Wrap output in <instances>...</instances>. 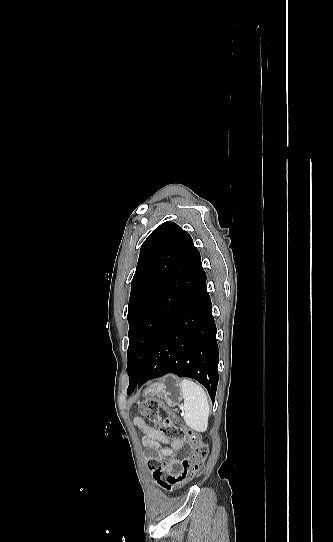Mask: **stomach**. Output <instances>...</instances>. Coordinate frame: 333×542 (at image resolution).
<instances>
[{
    "label": "stomach",
    "mask_w": 333,
    "mask_h": 542,
    "mask_svg": "<svg viewBox=\"0 0 333 542\" xmlns=\"http://www.w3.org/2000/svg\"><path fill=\"white\" fill-rule=\"evenodd\" d=\"M180 384L179 378H176L173 374H167L162 378L161 382H154V384L148 386L144 396H157V398H162L169 408H175L183 400Z\"/></svg>",
    "instance_id": "obj_1"
}]
</instances>
